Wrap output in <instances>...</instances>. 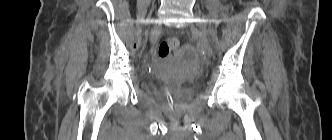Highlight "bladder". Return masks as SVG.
<instances>
[{
    "label": "bladder",
    "mask_w": 332,
    "mask_h": 140,
    "mask_svg": "<svg viewBox=\"0 0 332 140\" xmlns=\"http://www.w3.org/2000/svg\"><path fill=\"white\" fill-rule=\"evenodd\" d=\"M195 84L194 80L189 81V87H192ZM156 98L161 104H166L167 102V93L163 90L156 91ZM174 107L179 110L189 99H190V88L182 90L178 93L172 94Z\"/></svg>",
    "instance_id": "1"
}]
</instances>
